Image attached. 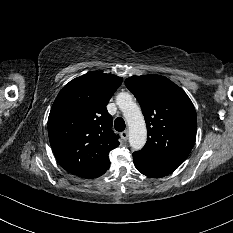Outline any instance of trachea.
Masks as SVG:
<instances>
[{
	"instance_id": "trachea-1",
	"label": "trachea",
	"mask_w": 233,
	"mask_h": 233,
	"mask_svg": "<svg viewBox=\"0 0 233 233\" xmlns=\"http://www.w3.org/2000/svg\"><path fill=\"white\" fill-rule=\"evenodd\" d=\"M126 125H125V121L123 118L118 117L115 119L114 121V128L115 130L122 132L125 129Z\"/></svg>"
}]
</instances>
